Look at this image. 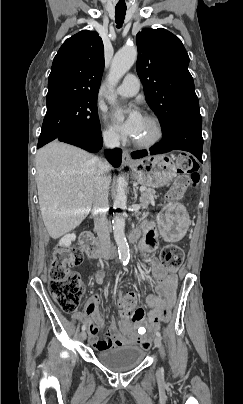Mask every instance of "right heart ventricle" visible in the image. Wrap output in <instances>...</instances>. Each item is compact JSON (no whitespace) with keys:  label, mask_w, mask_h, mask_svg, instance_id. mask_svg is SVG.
Returning a JSON list of instances; mask_svg holds the SVG:
<instances>
[{"label":"right heart ventricle","mask_w":243,"mask_h":404,"mask_svg":"<svg viewBox=\"0 0 243 404\" xmlns=\"http://www.w3.org/2000/svg\"><path fill=\"white\" fill-rule=\"evenodd\" d=\"M132 46H133V44L129 43V44H127V46L124 49H130V48H132Z\"/></svg>","instance_id":"right-heart-ventricle-1"}]
</instances>
